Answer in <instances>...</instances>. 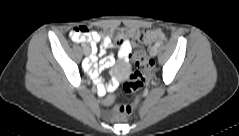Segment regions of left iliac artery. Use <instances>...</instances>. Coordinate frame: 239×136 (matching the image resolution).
I'll list each match as a JSON object with an SVG mask.
<instances>
[{
	"instance_id": "left-iliac-artery-1",
	"label": "left iliac artery",
	"mask_w": 239,
	"mask_h": 136,
	"mask_svg": "<svg viewBox=\"0 0 239 136\" xmlns=\"http://www.w3.org/2000/svg\"><path fill=\"white\" fill-rule=\"evenodd\" d=\"M159 46H160V42H156L155 47H159Z\"/></svg>"
}]
</instances>
